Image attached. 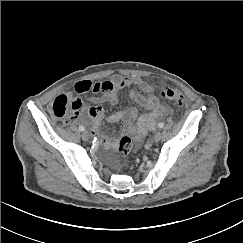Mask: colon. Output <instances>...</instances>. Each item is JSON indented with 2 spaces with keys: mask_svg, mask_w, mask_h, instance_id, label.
Returning <instances> with one entry per match:
<instances>
[{
  "mask_svg": "<svg viewBox=\"0 0 243 243\" xmlns=\"http://www.w3.org/2000/svg\"><path fill=\"white\" fill-rule=\"evenodd\" d=\"M160 96L176 106H183L185 99L182 92L174 86L162 84L159 89ZM52 111L58 118H63L67 112V104L64 101H55L52 104ZM133 143L131 138L125 136L119 141V153L122 157V164L126 166L128 164V157L132 150Z\"/></svg>",
  "mask_w": 243,
  "mask_h": 243,
  "instance_id": "colon-1",
  "label": "colon"
}]
</instances>
